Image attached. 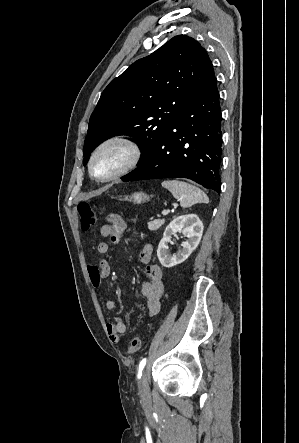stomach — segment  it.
Returning a JSON list of instances; mask_svg holds the SVG:
<instances>
[{
    "instance_id": "obj_1",
    "label": "stomach",
    "mask_w": 299,
    "mask_h": 443,
    "mask_svg": "<svg viewBox=\"0 0 299 443\" xmlns=\"http://www.w3.org/2000/svg\"><path fill=\"white\" fill-rule=\"evenodd\" d=\"M123 200L133 201L136 204H141L149 200V196L143 192H135L130 196H124Z\"/></svg>"
}]
</instances>
